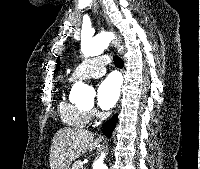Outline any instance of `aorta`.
Here are the masks:
<instances>
[{"label": "aorta", "instance_id": "obj_1", "mask_svg": "<svg viewBox=\"0 0 200 169\" xmlns=\"http://www.w3.org/2000/svg\"><path fill=\"white\" fill-rule=\"evenodd\" d=\"M113 35L107 32L98 34L95 37H81V52L84 57H93L101 54L110 44ZM71 93L80 99L91 98L94 91L86 84L77 82L73 85ZM105 154L102 153L93 163V169H108L104 162Z\"/></svg>", "mask_w": 200, "mask_h": 169}]
</instances>
